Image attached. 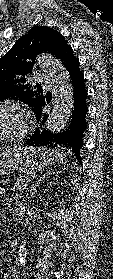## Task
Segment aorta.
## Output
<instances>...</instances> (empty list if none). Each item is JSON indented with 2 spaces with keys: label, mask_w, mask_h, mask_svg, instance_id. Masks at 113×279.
Segmentation results:
<instances>
[{
  "label": "aorta",
  "mask_w": 113,
  "mask_h": 279,
  "mask_svg": "<svg viewBox=\"0 0 113 279\" xmlns=\"http://www.w3.org/2000/svg\"><path fill=\"white\" fill-rule=\"evenodd\" d=\"M36 62L48 75L53 86L54 106L47 119L46 128L51 133H59L66 127L72 115L74 96L71 79L63 64L48 54L39 55ZM27 254L26 238L23 235L18 247L20 265L26 264Z\"/></svg>",
  "instance_id": "1"
}]
</instances>
